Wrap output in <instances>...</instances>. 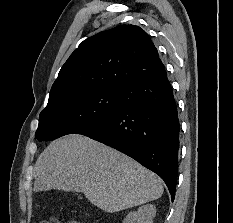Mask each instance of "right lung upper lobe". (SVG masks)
<instances>
[{"label": "right lung upper lobe", "mask_w": 233, "mask_h": 223, "mask_svg": "<svg viewBox=\"0 0 233 223\" xmlns=\"http://www.w3.org/2000/svg\"><path fill=\"white\" fill-rule=\"evenodd\" d=\"M163 69L148 34L138 26L119 25L79 45L62 66L49 101L92 88L121 89Z\"/></svg>", "instance_id": "right-lung-upper-lobe-1"}]
</instances>
